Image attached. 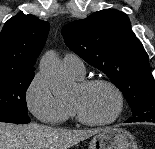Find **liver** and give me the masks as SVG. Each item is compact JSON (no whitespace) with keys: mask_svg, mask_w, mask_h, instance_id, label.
<instances>
[{"mask_svg":"<svg viewBox=\"0 0 155 149\" xmlns=\"http://www.w3.org/2000/svg\"><path fill=\"white\" fill-rule=\"evenodd\" d=\"M105 129L66 130L36 123H0V149H70Z\"/></svg>","mask_w":155,"mask_h":149,"instance_id":"obj_1","label":"liver"}]
</instances>
